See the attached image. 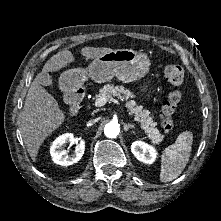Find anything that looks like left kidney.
<instances>
[{"label":"left kidney","instance_id":"left-kidney-1","mask_svg":"<svg viewBox=\"0 0 221 221\" xmlns=\"http://www.w3.org/2000/svg\"><path fill=\"white\" fill-rule=\"evenodd\" d=\"M131 152L139 161L146 164H152L157 157L156 149L142 141L133 142Z\"/></svg>","mask_w":221,"mask_h":221}]
</instances>
